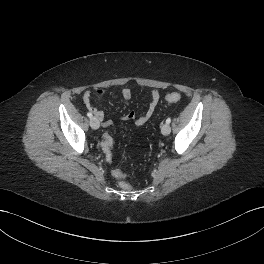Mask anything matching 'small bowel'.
<instances>
[{
  "instance_id": "obj_1",
  "label": "small bowel",
  "mask_w": 264,
  "mask_h": 264,
  "mask_svg": "<svg viewBox=\"0 0 264 264\" xmlns=\"http://www.w3.org/2000/svg\"><path fill=\"white\" fill-rule=\"evenodd\" d=\"M96 98H101L104 95L103 91H97L95 92ZM121 96L124 100L128 101L133 97L132 90L128 88H124L121 90ZM92 97L93 93L91 91H86L83 95V100L85 103L86 108L94 114V116L98 119V121L101 122L103 127H109L112 124V121L110 119L105 118L104 112L97 107H95L92 104ZM150 102L146 109V111L141 114L140 116H137L134 112H129L122 116V119L125 121H132L136 126H143L153 115L156 106L160 100V92L158 90H152L149 93ZM106 159L108 161L112 160V155H105ZM119 172V170H114L113 175L116 177V174Z\"/></svg>"
}]
</instances>
